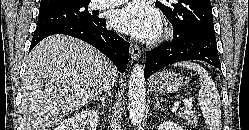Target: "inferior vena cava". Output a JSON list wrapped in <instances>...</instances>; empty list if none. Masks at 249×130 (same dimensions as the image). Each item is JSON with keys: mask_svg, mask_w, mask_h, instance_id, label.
<instances>
[{"mask_svg": "<svg viewBox=\"0 0 249 130\" xmlns=\"http://www.w3.org/2000/svg\"><path fill=\"white\" fill-rule=\"evenodd\" d=\"M114 83L115 79H113L110 83H108V85L105 87V91L108 92L114 86Z\"/></svg>", "mask_w": 249, "mask_h": 130, "instance_id": "602c4592", "label": "inferior vena cava"}]
</instances>
